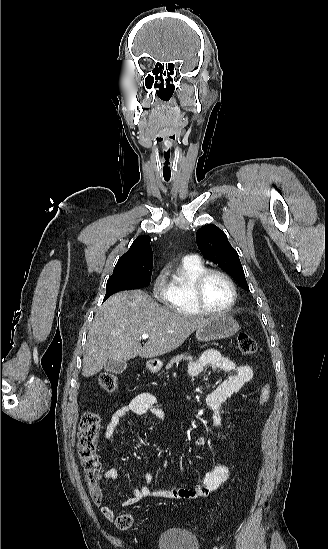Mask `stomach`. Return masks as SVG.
<instances>
[{"mask_svg": "<svg viewBox=\"0 0 328 549\" xmlns=\"http://www.w3.org/2000/svg\"><path fill=\"white\" fill-rule=\"evenodd\" d=\"M240 329L239 323L230 315H214L208 319V323L204 327H200L196 331L197 341L205 343V341H216V339H227L238 333ZM163 363L160 359H151L148 361L147 367L151 373H158Z\"/></svg>", "mask_w": 328, "mask_h": 549, "instance_id": "0dacf381", "label": "stomach"}]
</instances>
